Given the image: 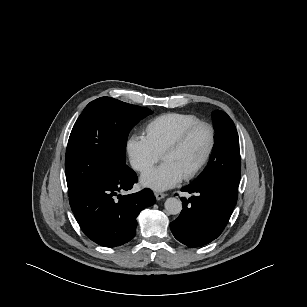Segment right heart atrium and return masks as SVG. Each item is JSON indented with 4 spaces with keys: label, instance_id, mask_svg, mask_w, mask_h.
Masks as SVG:
<instances>
[{
    "label": "right heart atrium",
    "instance_id": "right-heart-atrium-1",
    "mask_svg": "<svg viewBox=\"0 0 307 307\" xmlns=\"http://www.w3.org/2000/svg\"><path fill=\"white\" fill-rule=\"evenodd\" d=\"M127 152L132 167L138 172L147 171L161 158L148 138L142 135H132L128 139Z\"/></svg>",
    "mask_w": 307,
    "mask_h": 307
}]
</instances>
